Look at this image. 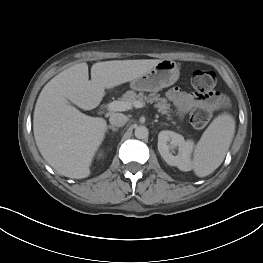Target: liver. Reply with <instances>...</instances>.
Masks as SVG:
<instances>
[{
    "label": "liver",
    "instance_id": "liver-1",
    "mask_svg": "<svg viewBox=\"0 0 263 263\" xmlns=\"http://www.w3.org/2000/svg\"><path fill=\"white\" fill-rule=\"evenodd\" d=\"M160 60H112L92 65L79 63L52 78L42 89L34 110L36 145L46 162L58 174L82 179L90 175L93 158L104 140L107 123L71 106L96 108L105 89L132 81L152 69Z\"/></svg>",
    "mask_w": 263,
    "mask_h": 263
}]
</instances>
